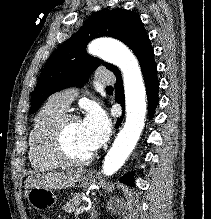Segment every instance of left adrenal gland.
<instances>
[{"instance_id": "1", "label": "left adrenal gland", "mask_w": 211, "mask_h": 219, "mask_svg": "<svg viewBox=\"0 0 211 219\" xmlns=\"http://www.w3.org/2000/svg\"><path fill=\"white\" fill-rule=\"evenodd\" d=\"M91 219H96V217H97V212H96V210H95V205H93L92 207H91Z\"/></svg>"}]
</instances>
